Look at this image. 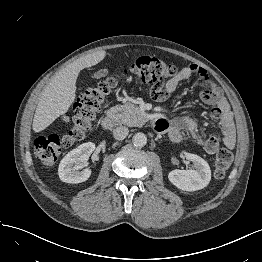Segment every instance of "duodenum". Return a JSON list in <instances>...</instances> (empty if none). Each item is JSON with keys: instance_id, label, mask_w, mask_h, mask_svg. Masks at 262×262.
Listing matches in <instances>:
<instances>
[{"instance_id": "410a0bca", "label": "duodenum", "mask_w": 262, "mask_h": 262, "mask_svg": "<svg viewBox=\"0 0 262 262\" xmlns=\"http://www.w3.org/2000/svg\"><path fill=\"white\" fill-rule=\"evenodd\" d=\"M102 126L107 130H112L115 128L117 124V115L115 113H110L105 115L101 120ZM161 126V121L156 119L155 120V129L159 130Z\"/></svg>"}]
</instances>
